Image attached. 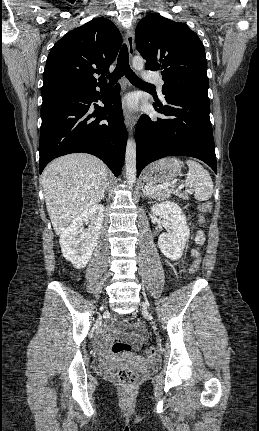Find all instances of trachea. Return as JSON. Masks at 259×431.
Wrapping results in <instances>:
<instances>
[{"label":"trachea","mask_w":259,"mask_h":431,"mask_svg":"<svg viewBox=\"0 0 259 431\" xmlns=\"http://www.w3.org/2000/svg\"><path fill=\"white\" fill-rule=\"evenodd\" d=\"M125 75L128 80L137 85H151L149 83H146L142 81L130 68L129 65V53L128 48L124 44L120 50L117 66L112 74L108 75V78L110 80V83H115L118 81V79Z\"/></svg>","instance_id":"obj_1"}]
</instances>
